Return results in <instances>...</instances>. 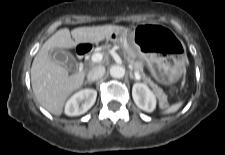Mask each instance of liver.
<instances>
[{"label":"liver","mask_w":225,"mask_h":155,"mask_svg":"<svg viewBox=\"0 0 225 155\" xmlns=\"http://www.w3.org/2000/svg\"><path fill=\"white\" fill-rule=\"evenodd\" d=\"M122 30H125L123 26L103 25L79 27L71 32L68 28H63L53 34L42 45L31 67V85L39 104L48 112L60 116L68 97L81 88L84 82V73L69 75L65 67L53 61L49 55L51 49H71L77 44H98Z\"/></svg>","instance_id":"6515ba94"}]
</instances>
